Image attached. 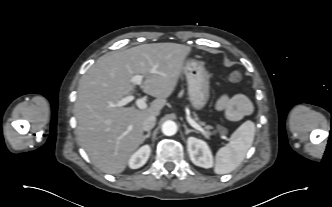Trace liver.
<instances>
[{
  "label": "liver",
  "mask_w": 332,
  "mask_h": 207,
  "mask_svg": "<svg viewBox=\"0 0 332 207\" xmlns=\"http://www.w3.org/2000/svg\"><path fill=\"white\" fill-rule=\"evenodd\" d=\"M191 48L177 43L143 44L100 57L79 81L74 106L80 145L101 171L125 170L132 153L143 143V121L158 116L174 91ZM156 97L145 109L114 106L135 89Z\"/></svg>",
  "instance_id": "liver-1"
}]
</instances>
